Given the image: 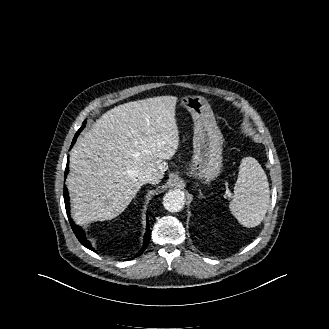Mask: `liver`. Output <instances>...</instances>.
<instances>
[{"mask_svg":"<svg viewBox=\"0 0 329 329\" xmlns=\"http://www.w3.org/2000/svg\"><path fill=\"white\" fill-rule=\"evenodd\" d=\"M178 98L157 96L114 107L80 136L70 153L66 180L78 223L111 220L121 214L151 171L163 178L179 145Z\"/></svg>","mask_w":329,"mask_h":329,"instance_id":"liver-1","label":"liver"}]
</instances>
